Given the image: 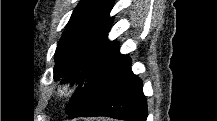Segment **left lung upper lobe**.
<instances>
[{
  "instance_id": "1",
  "label": "left lung upper lobe",
  "mask_w": 217,
  "mask_h": 121,
  "mask_svg": "<svg viewBox=\"0 0 217 121\" xmlns=\"http://www.w3.org/2000/svg\"><path fill=\"white\" fill-rule=\"evenodd\" d=\"M113 0H81L74 9L55 52L54 79L79 84L68 104L69 118L78 106L87 86L97 77L118 48L107 34Z\"/></svg>"
}]
</instances>
